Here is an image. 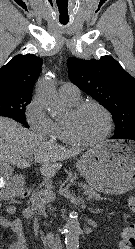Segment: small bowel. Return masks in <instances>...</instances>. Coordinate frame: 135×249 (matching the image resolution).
I'll use <instances>...</instances> for the list:
<instances>
[{"mask_svg":"<svg viewBox=\"0 0 135 249\" xmlns=\"http://www.w3.org/2000/svg\"><path fill=\"white\" fill-rule=\"evenodd\" d=\"M2 206L0 202V207ZM17 211L15 205H8L6 212L8 215H14ZM0 226L8 228L16 238V242L9 249H27L26 239L22 230V221L19 217L8 220L0 216Z\"/></svg>","mask_w":135,"mask_h":249,"instance_id":"obj_1","label":"small bowel"}]
</instances>
